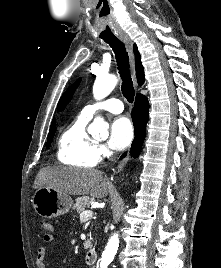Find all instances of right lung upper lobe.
<instances>
[{
  "mask_svg": "<svg viewBox=\"0 0 221 268\" xmlns=\"http://www.w3.org/2000/svg\"><path fill=\"white\" fill-rule=\"evenodd\" d=\"M133 51L135 54V58H136V75H137V80H138V84L142 85L145 81V76H144V70H143V66L141 64V56L138 52V49L136 47V45L134 44L133 47ZM55 127V121L53 120L51 123V128Z\"/></svg>",
  "mask_w": 221,
  "mask_h": 268,
  "instance_id": "cb5924a9",
  "label": "right lung upper lobe"
}]
</instances>
